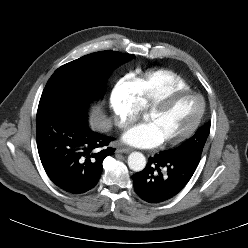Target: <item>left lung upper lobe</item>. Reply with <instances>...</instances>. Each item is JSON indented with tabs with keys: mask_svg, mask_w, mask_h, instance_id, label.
<instances>
[{
	"mask_svg": "<svg viewBox=\"0 0 248 248\" xmlns=\"http://www.w3.org/2000/svg\"><path fill=\"white\" fill-rule=\"evenodd\" d=\"M209 132H210V123L205 124L203 127H201L191 139L185 141L183 144H181L180 146L169 152L176 155H184V154L201 155L205 142L209 135Z\"/></svg>",
	"mask_w": 248,
	"mask_h": 248,
	"instance_id": "obj_1",
	"label": "left lung upper lobe"
}]
</instances>
